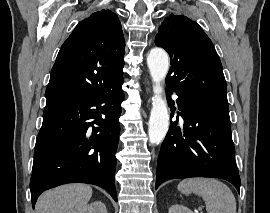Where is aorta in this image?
Here are the masks:
<instances>
[{
    "label": "aorta",
    "instance_id": "aorta-1",
    "mask_svg": "<svg viewBox=\"0 0 270 213\" xmlns=\"http://www.w3.org/2000/svg\"><path fill=\"white\" fill-rule=\"evenodd\" d=\"M147 64L153 81L152 109L150 113L148 135L151 144H159L166 136L169 128L167 103L162 93V82L169 69V58L161 48H154L147 57Z\"/></svg>",
    "mask_w": 270,
    "mask_h": 213
}]
</instances>
